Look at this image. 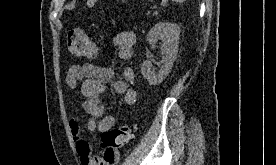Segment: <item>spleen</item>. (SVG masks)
I'll use <instances>...</instances> for the list:
<instances>
[{
	"label": "spleen",
	"instance_id": "obj_1",
	"mask_svg": "<svg viewBox=\"0 0 276 165\" xmlns=\"http://www.w3.org/2000/svg\"><path fill=\"white\" fill-rule=\"evenodd\" d=\"M172 1H175V2H183L185 0H172Z\"/></svg>",
	"mask_w": 276,
	"mask_h": 165
}]
</instances>
